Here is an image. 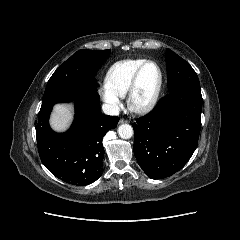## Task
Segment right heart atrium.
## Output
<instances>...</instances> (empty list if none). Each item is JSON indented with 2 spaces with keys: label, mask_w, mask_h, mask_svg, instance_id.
Masks as SVG:
<instances>
[{
  "label": "right heart atrium",
  "mask_w": 240,
  "mask_h": 240,
  "mask_svg": "<svg viewBox=\"0 0 240 240\" xmlns=\"http://www.w3.org/2000/svg\"><path fill=\"white\" fill-rule=\"evenodd\" d=\"M102 100L107 104L111 111H117L120 107V98L110 91L106 86L99 90Z\"/></svg>",
  "instance_id": "right-heart-atrium-1"
}]
</instances>
